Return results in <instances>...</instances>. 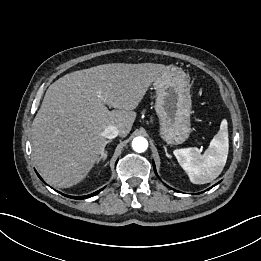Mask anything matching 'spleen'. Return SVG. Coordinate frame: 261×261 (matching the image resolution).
I'll return each mask as SVG.
<instances>
[{
  "instance_id": "1",
  "label": "spleen",
  "mask_w": 261,
  "mask_h": 261,
  "mask_svg": "<svg viewBox=\"0 0 261 261\" xmlns=\"http://www.w3.org/2000/svg\"><path fill=\"white\" fill-rule=\"evenodd\" d=\"M229 139L227 121L223 120L220 130L210 142L204 154L196 147L174 150L180 166L194 184H205L216 179L222 172L228 156Z\"/></svg>"
}]
</instances>
